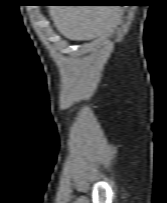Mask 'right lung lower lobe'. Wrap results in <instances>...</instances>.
I'll list each match as a JSON object with an SVG mask.
<instances>
[{"instance_id": "obj_1", "label": "right lung lower lobe", "mask_w": 167, "mask_h": 203, "mask_svg": "<svg viewBox=\"0 0 167 203\" xmlns=\"http://www.w3.org/2000/svg\"><path fill=\"white\" fill-rule=\"evenodd\" d=\"M100 3H105V4H89V5H124V4H119L118 2H111V1H105ZM79 6H82V5H79Z\"/></svg>"}]
</instances>
